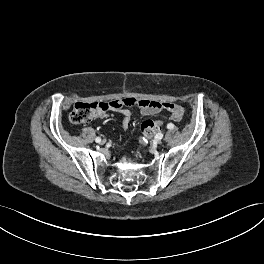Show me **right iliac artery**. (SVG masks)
Returning a JSON list of instances; mask_svg holds the SVG:
<instances>
[{
	"instance_id": "right-iliac-artery-1",
	"label": "right iliac artery",
	"mask_w": 264,
	"mask_h": 264,
	"mask_svg": "<svg viewBox=\"0 0 264 264\" xmlns=\"http://www.w3.org/2000/svg\"><path fill=\"white\" fill-rule=\"evenodd\" d=\"M95 141H96L97 143H100V142H101V138H100V137H96V138H95Z\"/></svg>"
}]
</instances>
